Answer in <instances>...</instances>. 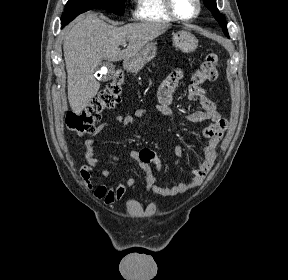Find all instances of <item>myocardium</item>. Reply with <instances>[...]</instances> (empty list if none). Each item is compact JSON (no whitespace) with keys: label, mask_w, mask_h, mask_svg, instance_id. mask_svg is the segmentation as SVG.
<instances>
[{"label":"myocardium","mask_w":288,"mask_h":280,"mask_svg":"<svg viewBox=\"0 0 288 280\" xmlns=\"http://www.w3.org/2000/svg\"><path fill=\"white\" fill-rule=\"evenodd\" d=\"M164 4H165V8H166L168 14L174 20L179 21V22H184V23L194 21L195 19H197L199 17V15L201 14V11H202L201 0H196L197 10H196L195 14L193 16H191L190 18H182L176 13L173 0H164Z\"/></svg>","instance_id":"f54148a6"}]
</instances>
